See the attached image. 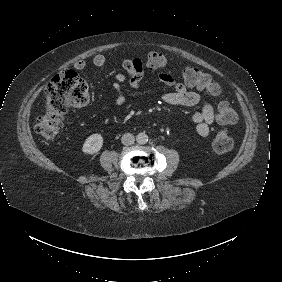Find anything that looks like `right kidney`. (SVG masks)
<instances>
[{
  "mask_svg": "<svg viewBox=\"0 0 282 282\" xmlns=\"http://www.w3.org/2000/svg\"><path fill=\"white\" fill-rule=\"evenodd\" d=\"M104 145V138L100 133L90 135L82 145V153L85 155L97 154Z\"/></svg>",
  "mask_w": 282,
  "mask_h": 282,
  "instance_id": "1",
  "label": "right kidney"
}]
</instances>
